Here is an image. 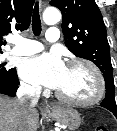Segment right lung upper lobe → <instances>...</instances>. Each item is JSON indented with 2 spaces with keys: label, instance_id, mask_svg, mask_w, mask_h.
Listing matches in <instances>:
<instances>
[{
  "label": "right lung upper lobe",
  "instance_id": "right-lung-upper-lobe-1",
  "mask_svg": "<svg viewBox=\"0 0 117 131\" xmlns=\"http://www.w3.org/2000/svg\"><path fill=\"white\" fill-rule=\"evenodd\" d=\"M33 4L34 0H0V52L5 35L29 27Z\"/></svg>",
  "mask_w": 117,
  "mask_h": 131
}]
</instances>
